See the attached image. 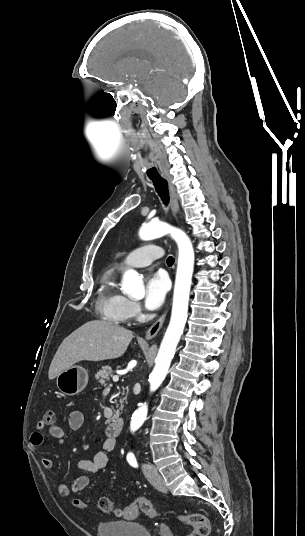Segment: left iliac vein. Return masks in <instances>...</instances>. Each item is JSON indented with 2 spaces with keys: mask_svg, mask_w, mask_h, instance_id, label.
<instances>
[{
  "mask_svg": "<svg viewBox=\"0 0 305 536\" xmlns=\"http://www.w3.org/2000/svg\"><path fill=\"white\" fill-rule=\"evenodd\" d=\"M143 472L150 481V483L160 492L165 493L168 488L165 485L163 477L156 471L154 467L147 466L143 468Z\"/></svg>",
  "mask_w": 305,
  "mask_h": 536,
  "instance_id": "1",
  "label": "left iliac vein"
}]
</instances>
